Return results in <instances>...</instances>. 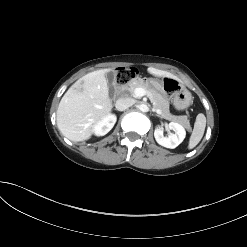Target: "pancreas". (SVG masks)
Returning a JSON list of instances; mask_svg holds the SVG:
<instances>
[{"instance_id":"obj_1","label":"pancreas","mask_w":247,"mask_h":247,"mask_svg":"<svg viewBox=\"0 0 247 247\" xmlns=\"http://www.w3.org/2000/svg\"><path fill=\"white\" fill-rule=\"evenodd\" d=\"M132 80H136V81H132ZM132 80H130L126 85L123 86L125 90H128L132 95H134V90L136 88H144L148 92L147 95L149 96L151 102L153 103L154 109L161 111L159 113V116L161 118H164L169 121L178 122L182 124L188 131H191L190 122L187 116L185 115L175 116L170 113L169 101L161 93L158 92L156 83L154 81L150 80V82H144L140 78L132 79Z\"/></svg>"}]
</instances>
